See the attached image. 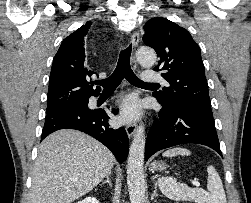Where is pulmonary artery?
<instances>
[{
  "label": "pulmonary artery",
  "mask_w": 251,
  "mask_h": 203,
  "mask_svg": "<svg viewBox=\"0 0 251 203\" xmlns=\"http://www.w3.org/2000/svg\"><path fill=\"white\" fill-rule=\"evenodd\" d=\"M142 80L147 83H163L166 84V81L164 78L155 72H144L142 74Z\"/></svg>",
  "instance_id": "obj_1"
}]
</instances>
